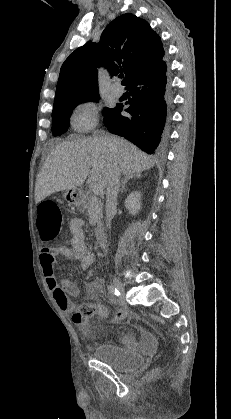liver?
<instances>
[{
  "label": "liver",
  "instance_id": "1",
  "mask_svg": "<svg viewBox=\"0 0 231 419\" xmlns=\"http://www.w3.org/2000/svg\"><path fill=\"white\" fill-rule=\"evenodd\" d=\"M154 159L129 141L113 136L63 142L56 145L37 175L35 201L41 202L51 194L76 189L88 182L107 187L109 176L117 167L125 176L149 170Z\"/></svg>",
  "mask_w": 231,
  "mask_h": 419
}]
</instances>
